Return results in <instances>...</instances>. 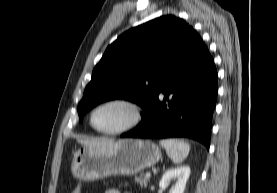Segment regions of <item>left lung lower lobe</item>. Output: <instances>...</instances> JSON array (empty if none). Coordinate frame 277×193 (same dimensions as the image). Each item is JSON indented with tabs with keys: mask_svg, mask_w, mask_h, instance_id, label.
<instances>
[{
	"mask_svg": "<svg viewBox=\"0 0 277 193\" xmlns=\"http://www.w3.org/2000/svg\"><path fill=\"white\" fill-rule=\"evenodd\" d=\"M217 93V70L199 36L189 56L163 86L154 105L143 114L138 127L121 137H189L209 148Z\"/></svg>",
	"mask_w": 277,
	"mask_h": 193,
	"instance_id": "obj_1",
	"label": "left lung lower lobe"
}]
</instances>
